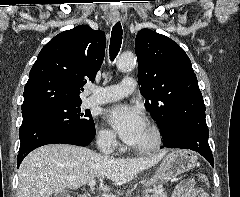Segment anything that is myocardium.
Wrapping results in <instances>:
<instances>
[{
  "label": "myocardium",
  "instance_id": "1",
  "mask_svg": "<svg viewBox=\"0 0 240 197\" xmlns=\"http://www.w3.org/2000/svg\"><path fill=\"white\" fill-rule=\"evenodd\" d=\"M151 141L148 144L132 146L131 149L138 154H150L157 152L163 144V133L160 127L153 122H148Z\"/></svg>",
  "mask_w": 240,
  "mask_h": 197
}]
</instances>
